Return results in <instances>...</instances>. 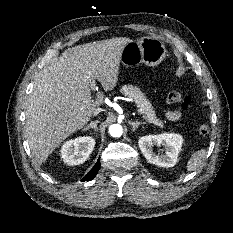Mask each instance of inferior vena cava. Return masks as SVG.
Instances as JSON below:
<instances>
[{"instance_id": "inferior-vena-cava-1", "label": "inferior vena cava", "mask_w": 233, "mask_h": 233, "mask_svg": "<svg viewBox=\"0 0 233 233\" xmlns=\"http://www.w3.org/2000/svg\"><path fill=\"white\" fill-rule=\"evenodd\" d=\"M102 111H104L102 108H96L95 110H94V115H97V114H99L100 112H102Z\"/></svg>"}]
</instances>
